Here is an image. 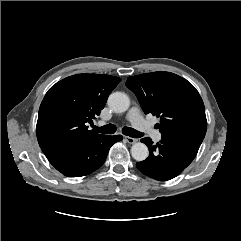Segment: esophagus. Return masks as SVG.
<instances>
[{"mask_svg": "<svg viewBox=\"0 0 241 241\" xmlns=\"http://www.w3.org/2000/svg\"><path fill=\"white\" fill-rule=\"evenodd\" d=\"M125 140L129 143V144H134L137 142V139L132 138V137H125Z\"/></svg>", "mask_w": 241, "mask_h": 241, "instance_id": "esophagus-1", "label": "esophagus"}]
</instances>
